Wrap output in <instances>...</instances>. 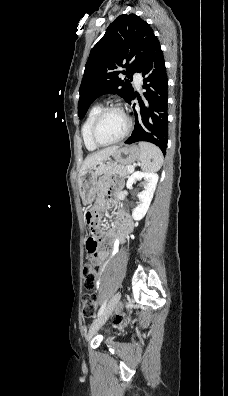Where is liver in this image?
I'll use <instances>...</instances> for the list:
<instances>
[{"label": "liver", "mask_w": 228, "mask_h": 396, "mask_svg": "<svg viewBox=\"0 0 228 396\" xmlns=\"http://www.w3.org/2000/svg\"><path fill=\"white\" fill-rule=\"evenodd\" d=\"M118 148V146H111L88 155L81 166L79 177L87 169L93 168L101 162L107 160L109 156H111Z\"/></svg>", "instance_id": "obj_1"}]
</instances>
